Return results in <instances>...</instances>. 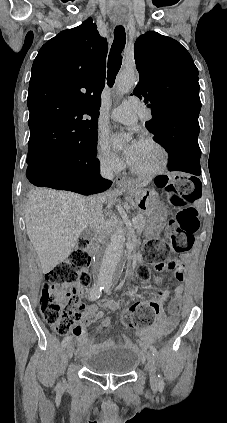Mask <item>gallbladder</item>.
<instances>
[{
  "mask_svg": "<svg viewBox=\"0 0 227 423\" xmlns=\"http://www.w3.org/2000/svg\"><path fill=\"white\" fill-rule=\"evenodd\" d=\"M80 237H82V239H92L93 229H89V227H86V229H83Z\"/></svg>",
  "mask_w": 227,
  "mask_h": 423,
  "instance_id": "bac80fb5",
  "label": "gallbladder"
}]
</instances>
